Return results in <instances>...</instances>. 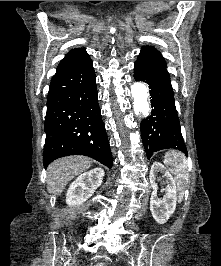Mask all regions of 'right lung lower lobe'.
<instances>
[{"label":"right lung lower lobe","mask_w":221,"mask_h":266,"mask_svg":"<svg viewBox=\"0 0 221 266\" xmlns=\"http://www.w3.org/2000/svg\"><path fill=\"white\" fill-rule=\"evenodd\" d=\"M45 133L44 167L68 155L89 156L112 167V153L101 118L91 59L52 78L47 96Z\"/></svg>","instance_id":"98d812e1"}]
</instances>
